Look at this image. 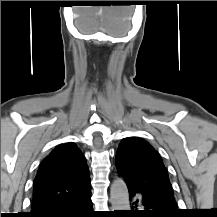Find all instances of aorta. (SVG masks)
<instances>
[{"mask_svg": "<svg viewBox=\"0 0 217 217\" xmlns=\"http://www.w3.org/2000/svg\"><path fill=\"white\" fill-rule=\"evenodd\" d=\"M110 199L113 211L130 210L128 188L123 179L117 178L111 184Z\"/></svg>", "mask_w": 217, "mask_h": 217, "instance_id": "obj_1", "label": "aorta"}]
</instances>
